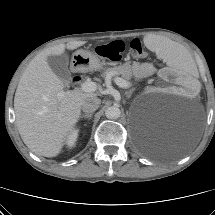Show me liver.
<instances>
[{
    "instance_id": "obj_1",
    "label": "liver",
    "mask_w": 215,
    "mask_h": 215,
    "mask_svg": "<svg viewBox=\"0 0 215 215\" xmlns=\"http://www.w3.org/2000/svg\"><path fill=\"white\" fill-rule=\"evenodd\" d=\"M85 43L70 41L44 49L20 78L14 97L16 125L23 142L36 155L57 156L80 118L82 103L96 96L80 90L63 91V82L47 62L48 56L61 55L65 49L74 50ZM60 92L62 97H58Z\"/></svg>"
}]
</instances>
